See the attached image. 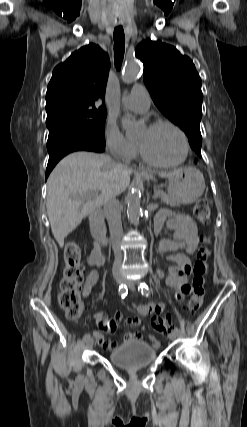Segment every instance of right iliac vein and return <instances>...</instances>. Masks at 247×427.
Segmentation results:
<instances>
[{"mask_svg":"<svg viewBox=\"0 0 247 427\" xmlns=\"http://www.w3.org/2000/svg\"><path fill=\"white\" fill-rule=\"evenodd\" d=\"M116 282L118 283V284H122L123 283V280H122V278L121 277H116ZM93 343H94V340H93V338L92 337H90L87 341H86V348L87 349H91L92 347H93Z\"/></svg>","mask_w":247,"mask_h":427,"instance_id":"63e3f726","label":"right iliac vein"}]
</instances>
